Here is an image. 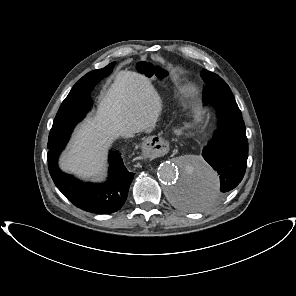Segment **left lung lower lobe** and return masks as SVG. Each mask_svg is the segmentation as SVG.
<instances>
[{"mask_svg": "<svg viewBox=\"0 0 296 296\" xmlns=\"http://www.w3.org/2000/svg\"><path fill=\"white\" fill-rule=\"evenodd\" d=\"M212 103L218 114V127L202 156L218 172L220 188L208 194L198 191L186 177L178 187L177 200L185 209L200 210L211 206L234 189L243 179L248 158V140L241 111L235 99L203 100Z\"/></svg>", "mask_w": 296, "mask_h": 296, "instance_id": "obj_1", "label": "left lung lower lobe"}]
</instances>
